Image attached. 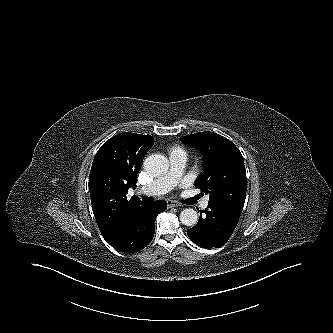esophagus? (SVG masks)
<instances>
[{"label": "esophagus", "instance_id": "obj_1", "mask_svg": "<svg viewBox=\"0 0 333 333\" xmlns=\"http://www.w3.org/2000/svg\"><path fill=\"white\" fill-rule=\"evenodd\" d=\"M167 206L169 208H172V207H178V206H180V204H178L177 202L172 201V200H167Z\"/></svg>", "mask_w": 333, "mask_h": 333}]
</instances>
